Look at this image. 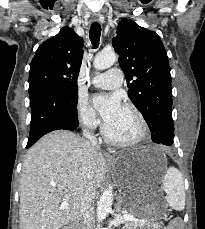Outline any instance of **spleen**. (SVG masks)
<instances>
[{
	"mask_svg": "<svg viewBox=\"0 0 205 229\" xmlns=\"http://www.w3.org/2000/svg\"><path fill=\"white\" fill-rule=\"evenodd\" d=\"M167 204L178 211L185 208V190L182 173L175 167H169L163 179Z\"/></svg>",
	"mask_w": 205,
	"mask_h": 229,
	"instance_id": "1",
	"label": "spleen"
}]
</instances>
